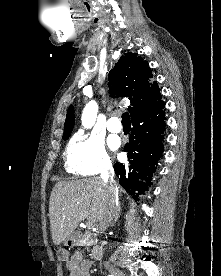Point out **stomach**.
Returning <instances> with one entry per match:
<instances>
[{"mask_svg":"<svg viewBox=\"0 0 221 276\" xmlns=\"http://www.w3.org/2000/svg\"><path fill=\"white\" fill-rule=\"evenodd\" d=\"M79 234L77 232H73L65 241L64 245L73 247L76 246L79 242Z\"/></svg>","mask_w":221,"mask_h":276,"instance_id":"obj_1","label":"stomach"}]
</instances>
